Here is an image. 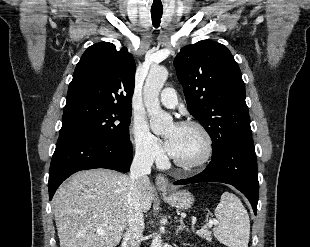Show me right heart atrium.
I'll list each match as a JSON object with an SVG mask.
<instances>
[{"mask_svg":"<svg viewBox=\"0 0 310 247\" xmlns=\"http://www.w3.org/2000/svg\"><path fill=\"white\" fill-rule=\"evenodd\" d=\"M131 137L135 153L147 162H159L163 153L157 138L150 132L147 123L135 119L131 126Z\"/></svg>","mask_w":310,"mask_h":247,"instance_id":"d8ad5b80","label":"right heart atrium"}]
</instances>
